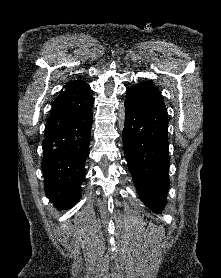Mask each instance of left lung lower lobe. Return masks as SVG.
<instances>
[{
  "mask_svg": "<svg viewBox=\"0 0 221 278\" xmlns=\"http://www.w3.org/2000/svg\"><path fill=\"white\" fill-rule=\"evenodd\" d=\"M166 109L144 110L125 102L124 154L138 194L155 212L165 206L169 186Z\"/></svg>",
  "mask_w": 221,
  "mask_h": 278,
  "instance_id": "0a47b994",
  "label": "left lung lower lobe"
}]
</instances>
